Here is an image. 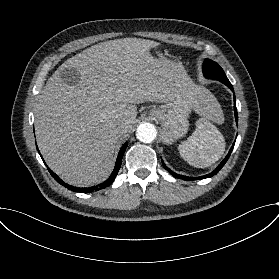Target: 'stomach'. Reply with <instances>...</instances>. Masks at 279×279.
<instances>
[{
	"mask_svg": "<svg viewBox=\"0 0 279 279\" xmlns=\"http://www.w3.org/2000/svg\"><path fill=\"white\" fill-rule=\"evenodd\" d=\"M159 59L168 61L170 65L179 69L183 74L186 73L181 62L168 60L163 55ZM159 107L151 109L150 115L161 123V140L164 144L170 145L177 139L183 137L189 127L188 117L193 109L188 98L183 96L181 84L174 87Z\"/></svg>",
	"mask_w": 279,
	"mask_h": 279,
	"instance_id": "0dacf381",
	"label": "stomach"
}]
</instances>
